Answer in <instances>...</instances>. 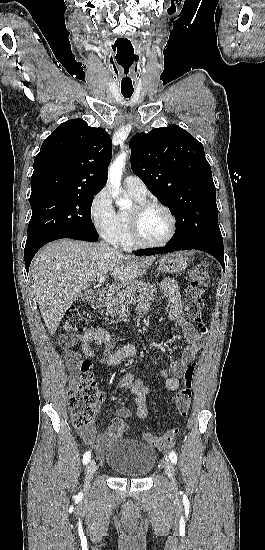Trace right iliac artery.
<instances>
[{"label":"right iliac artery","instance_id":"82829eb1","mask_svg":"<svg viewBox=\"0 0 265 550\" xmlns=\"http://www.w3.org/2000/svg\"><path fill=\"white\" fill-rule=\"evenodd\" d=\"M90 458H91V452L87 451L83 456V463L86 465L90 461Z\"/></svg>","mask_w":265,"mask_h":550}]
</instances>
